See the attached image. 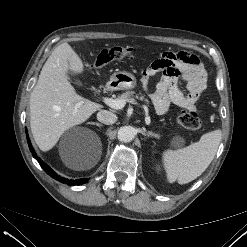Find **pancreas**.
I'll use <instances>...</instances> for the list:
<instances>
[{"label":"pancreas","mask_w":247,"mask_h":247,"mask_svg":"<svg viewBox=\"0 0 247 247\" xmlns=\"http://www.w3.org/2000/svg\"><path fill=\"white\" fill-rule=\"evenodd\" d=\"M118 97L125 101L134 100V97H135L136 99H139L140 101H144L146 104L149 103V100L145 98L141 93L135 95L133 91H126L122 93L121 95H119Z\"/></svg>","instance_id":"pancreas-1"}]
</instances>
